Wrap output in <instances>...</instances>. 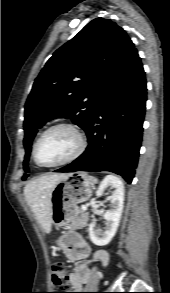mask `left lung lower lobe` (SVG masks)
Returning a JSON list of instances; mask_svg holds the SVG:
<instances>
[{"label":"left lung lower lobe","mask_w":170,"mask_h":293,"mask_svg":"<svg viewBox=\"0 0 170 293\" xmlns=\"http://www.w3.org/2000/svg\"><path fill=\"white\" fill-rule=\"evenodd\" d=\"M147 89L135 48L110 81L85 128L86 151L55 172L110 171L132 182L142 142Z\"/></svg>","instance_id":"1"}]
</instances>
